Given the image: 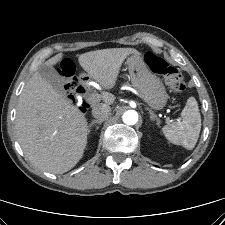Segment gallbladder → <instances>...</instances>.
Listing matches in <instances>:
<instances>
[{
	"instance_id": "bac80fb5",
	"label": "gallbladder",
	"mask_w": 225,
	"mask_h": 225,
	"mask_svg": "<svg viewBox=\"0 0 225 225\" xmlns=\"http://www.w3.org/2000/svg\"><path fill=\"white\" fill-rule=\"evenodd\" d=\"M38 73L40 76L45 79L52 87L57 90L59 93L64 92V81L63 78L58 74V72L49 65L43 64L39 67Z\"/></svg>"
}]
</instances>
